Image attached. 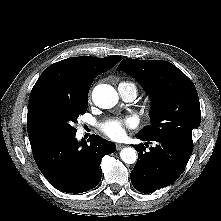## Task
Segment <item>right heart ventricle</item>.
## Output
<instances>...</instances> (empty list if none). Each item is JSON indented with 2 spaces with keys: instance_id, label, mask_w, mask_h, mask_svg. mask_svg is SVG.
Instances as JSON below:
<instances>
[{
  "instance_id": "obj_1",
  "label": "right heart ventricle",
  "mask_w": 221,
  "mask_h": 221,
  "mask_svg": "<svg viewBox=\"0 0 221 221\" xmlns=\"http://www.w3.org/2000/svg\"><path fill=\"white\" fill-rule=\"evenodd\" d=\"M120 84H123V85H131V86H134L135 87V85L133 84V83H131V82H121ZM136 88V87H135Z\"/></svg>"
}]
</instances>
